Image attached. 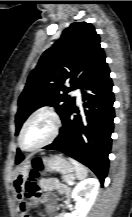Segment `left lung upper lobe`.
Listing matches in <instances>:
<instances>
[{"mask_svg": "<svg viewBox=\"0 0 132 217\" xmlns=\"http://www.w3.org/2000/svg\"><path fill=\"white\" fill-rule=\"evenodd\" d=\"M105 62L93 25L75 22L41 56L18 100L16 135L27 117L42 106H54L62 118L74 106L67 93L82 88ZM70 83V87L65 86ZM17 157H23L18 151Z\"/></svg>", "mask_w": 132, "mask_h": 217, "instance_id": "1", "label": "left lung upper lobe"}]
</instances>
